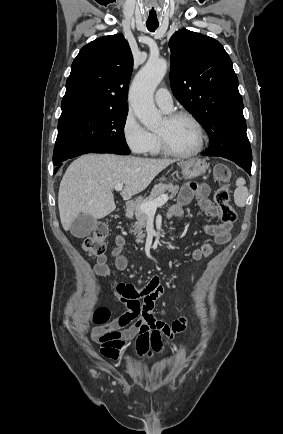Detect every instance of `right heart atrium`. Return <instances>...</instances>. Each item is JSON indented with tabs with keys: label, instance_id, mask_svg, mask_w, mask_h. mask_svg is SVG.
<instances>
[{
	"label": "right heart atrium",
	"instance_id": "1",
	"mask_svg": "<svg viewBox=\"0 0 283 434\" xmlns=\"http://www.w3.org/2000/svg\"><path fill=\"white\" fill-rule=\"evenodd\" d=\"M121 131L125 144L133 153L148 152L153 141V134L140 123L131 109L126 112Z\"/></svg>",
	"mask_w": 283,
	"mask_h": 434
}]
</instances>
